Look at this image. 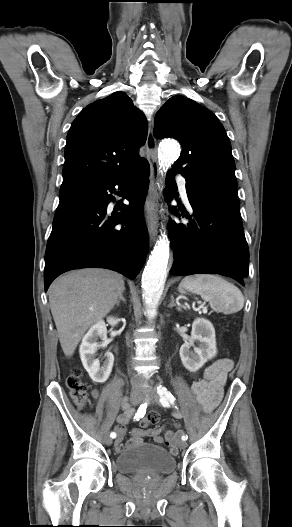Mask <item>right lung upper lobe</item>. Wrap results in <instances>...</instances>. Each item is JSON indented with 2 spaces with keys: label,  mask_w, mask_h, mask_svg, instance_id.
Returning <instances> with one entry per match:
<instances>
[{
  "label": "right lung upper lobe",
  "mask_w": 292,
  "mask_h": 527,
  "mask_svg": "<svg viewBox=\"0 0 292 527\" xmlns=\"http://www.w3.org/2000/svg\"><path fill=\"white\" fill-rule=\"evenodd\" d=\"M147 121L121 91L84 108L67 134L63 182H107L137 170Z\"/></svg>",
  "instance_id": "cb5924a9"
}]
</instances>
